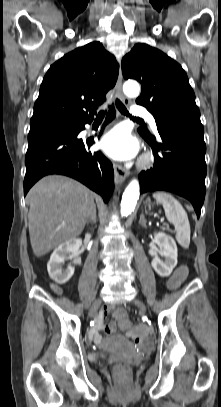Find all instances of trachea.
<instances>
[{
  "label": "trachea",
  "mask_w": 221,
  "mask_h": 407,
  "mask_svg": "<svg viewBox=\"0 0 221 407\" xmlns=\"http://www.w3.org/2000/svg\"><path fill=\"white\" fill-rule=\"evenodd\" d=\"M116 106H117L118 110H119L123 115H126V116L130 117V118L133 119V120L142 121L141 118L131 116V115L129 114V112L127 111L126 107H125V106L122 104V102H120L119 100H116ZM105 114H106V110H100L99 113H98V115H97V118H99V117H104Z\"/></svg>",
  "instance_id": "1"
}]
</instances>
